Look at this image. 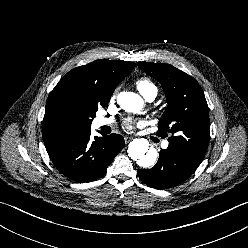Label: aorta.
Masks as SVG:
<instances>
[{
    "label": "aorta",
    "mask_w": 248,
    "mask_h": 248,
    "mask_svg": "<svg viewBox=\"0 0 248 248\" xmlns=\"http://www.w3.org/2000/svg\"><path fill=\"white\" fill-rule=\"evenodd\" d=\"M117 102L127 112L138 113L143 107L142 98L133 92H121L117 96ZM128 155L143 168L153 166L157 159V151L154 148L149 149V142L144 138L130 142Z\"/></svg>",
    "instance_id": "762f6f07"
}]
</instances>
